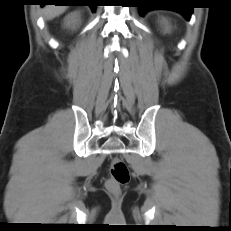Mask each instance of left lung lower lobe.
Returning a JSON list of instances; mask_svg holds the SVG:
<instances>
[{
  "instance_id": "left-lung-lower-lobe-1",
  "label": "left lung lower lobe",
  "mask_w": 231,
  "mask_h": 231,
  "mask_svg": "<svg viewBox=\"0 0 231 231\" xmlns=\"http://www.w3.org/2000/svg\"><path fill=\"white\" fill-rule=\"evenodd\" d=\"M136 3L141 16L151 10L167 9L176 11L189 20L193 8L187 5L186 0H136Z\"/></svg>"
}]
</instances>
